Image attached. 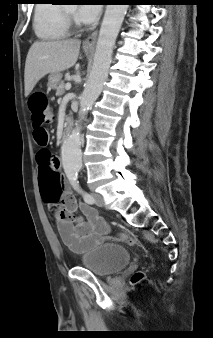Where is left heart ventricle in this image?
Masks as SVG:
<instances>
[{
  "label": "left heart ventricle",
  "instance_id": "b2bd125f",
  "mask_svg": "<svg viewBox=\"0 0 213 338\" xmlns=\"http://www.w3.org/2000/svg\"><path fill=\"white\" fill-rule=\"evenodd\" d=\"M67 9L70 13H74V11H75L74 7H72V6H69Z\"/></svg>",
  "mask_w": 213,
  "mask_h": 338
}]
</instances>
